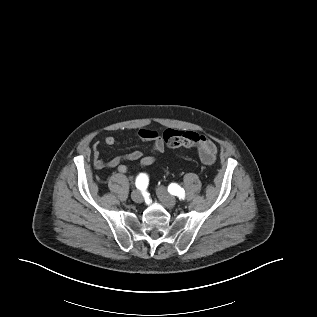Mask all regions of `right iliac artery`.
Masks as SVG:
<instances>
[{"mask_svg": "<svg viewBox=\"0 0 317 317\" xmlns=\"http://www.w3.org/2000/svg\"><path fill=\"white\" fill-rule=\"evenodd\" d=\"M148 176L144 173L140 174L137 178H136V187L140 190H143L147 187L148 185Z\"/></svg>", "mask_w": 317, "mask_h": 317, "instance_id": "right-iliac-artery-1", "label": "right iliac artery"}]
</instances>
